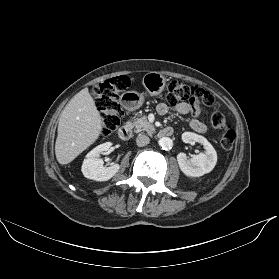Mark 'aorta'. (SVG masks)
I'll use <instances>...</instances> for the list:
<instances>
[{"label": "aorta", "mask_w": 279, "mask_h": 279, "mask_svg": "<svg viewBox=\"0 0 279 279\" xmlns=\"http://www.w3.org/2000/svg\"><path fill=\"white\" fill-rule=\"evenodd\" d=\"M159 146L162 147L164 150H169L173 146V142L169 137H162L158 141Z\"/></svg>", "instance_id": "aorta-1"}]
</instances>
